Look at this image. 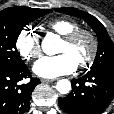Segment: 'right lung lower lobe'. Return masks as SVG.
<instances>
[{"label": "right lung lower lobe", "mask_w": 114, "mask_h": 114, "mask_svg": "<svg viewBox=\"0 0 114 114\" xmlns=\"http://www.w3.org/2000/svg\"><path fill=\"white\" fill-rule=\"evenodd\" d=\"M30 78L26 84L21 80ZM40 82L32 78L28 67L23 66L10 70L0 71V114H23L30 106L31 93Z\"/></svg>", "instance_id": "1"}]
</instances>
